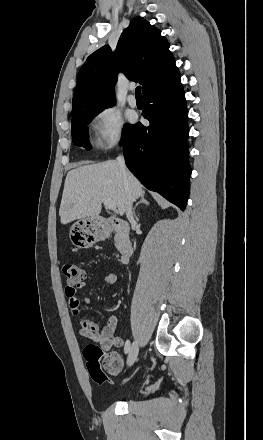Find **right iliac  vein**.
Listing matches in <instances>:
<instances>
[{"instance_id":"obj_1","label":"right iliac vein","mask_w":263,"mask_h":440,"mask_svg":"<svg viewBox=\"0 0 263 440\" xmlns=\"http://www.w3.org/2000/svg\"><path fill=\"white\" fill-rule=\"evenodd\" d=\"M138 353H139V345H138V343L135 341V342L133 343V345H132L130 351H129V355H128V358H127V364H128V366H132V365L134 364V362H135L136 359H137Z\"/></svg>"}]
</instances>
